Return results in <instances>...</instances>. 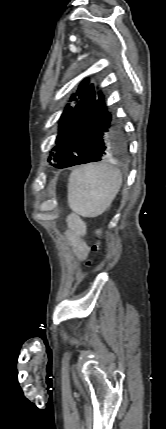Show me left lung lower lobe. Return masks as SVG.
Here are the masks:
<instances>
[{
  "instance_id": "0a47b994",
  "label": "left lung lower lobe",
  "mask_w": 166,
  "mask_h": 429,
  "mask_svg": "<svg viewBox=\"0 0 166 429\" xmlns=\"http://www.w3.org/2000/svg\"><path fill=\"white\" fill-rule=\"evenodd\" d=\"M98 96V98L96 97ZM121 126L112 120L101 92L87 85L70 115L56 152L49 160L55 168L100 161L110 150H121Z\"/></svg>"
}]
</instances>
